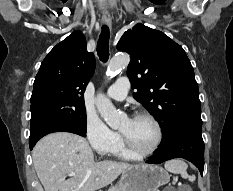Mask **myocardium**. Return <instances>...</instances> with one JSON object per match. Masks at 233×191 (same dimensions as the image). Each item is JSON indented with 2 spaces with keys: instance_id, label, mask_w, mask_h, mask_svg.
Returning a JSON list of instances; mask_svg holds the SVG:
<instances>
[{
  "instance_id": "1",
  "label": "myocardium",
  "mask_w": 233,
  "mask_h": 191,
  "mask_svg": "<svg viewBox=\"0 0 233 191\" xmlns=\"http://www.w3.org/2000/svg\"><path fill=\"white\" fill-rule=\"evenodd\" d=\"M132 119H147V120L151 121L156 128L157 138H156L154 146L150 150L141 151L129 140V138L125 134H123L121 132L122 140H123L125 147L131 153L135 154L138 157H148V156L154 154L158 150V148L160 147L162 139H163V130H162V126H161L160 122L153 115H151L149 113L136 114Z\"/></svg>"
}]
</instances>
